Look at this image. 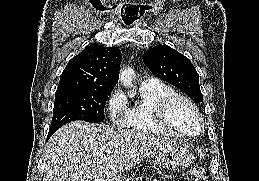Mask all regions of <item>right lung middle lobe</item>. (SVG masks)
I'll return each mask as SVG.
<instances>
[{"instance_id":"1","label":"right lung middle lobe","mask_w":259,"mask_h":181,"mask_svg":"<svg viewBox=\"0 0 259 181\" xmlns=\"http://www.w3.org/2000/svg\"><path fill=\"white\" fill-rule=\"evenodd\" d=\"M110 93L93 89H57L48 135H52L71 121L83 120L89 123L103 121L104 108Z\"/></svg>"}]
</instances>
